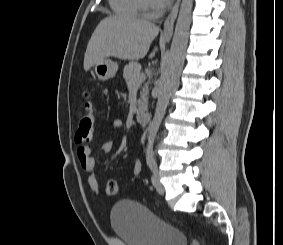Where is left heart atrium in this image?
Wrapping results in <instances>:
<instances>
[{"instance_id": "39dd6f15", "label": "left heart atrium", "mask_w": 283, "mask_h": 245, "mask_svg": "<svg viewBox=\"0 0 283 245\" xmlns=\"http://www.w3.org/2000/svg\"><path fill=\"white\" fill-rule=\"evenodd\" d=\"M152 1H153L154 5H155L156 7H164V6H166L167 4H169V2H170L171 0H152Z\"/></svg>"}]
</instances>
